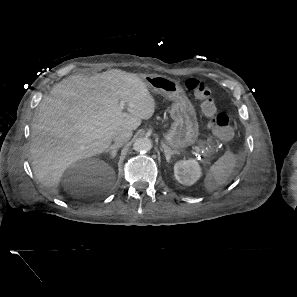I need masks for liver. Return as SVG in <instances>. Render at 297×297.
Wrapping results in <instances>:
<instances>
[{
	"mask_svg": "<svg viewBox=\"0 0 297 297\" xmlns=\"http://www.w3.org/2000/svg\"><path fill=\"white\" fill-rule=\"evenodd\" d=\"M154 111L155 100L136 74L111 69L64 79L43 98L32 125L30 154L36 178L57 194L70 165L103 153L117 130L137 129Z\"/></svg>",
	"mask_w": 297,
	"mask_h": 297,
	"instance_id": "obj_1",
	"label": "liver"
}]
</instances>
